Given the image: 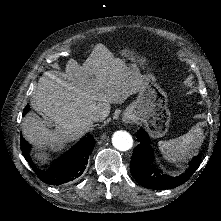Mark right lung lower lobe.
Segmentation results:
<instances>
[{"label":"right lung lower lobe","mask_w":221,"mask_h":221,"mask_svg":"<svg viewBox=\"0 0 221 221\" xmlns=\"http://www.w3.org/2000/svg\"><path fill=\"white\" fill-rule=\"evenodd\" d=\"M28 111L29 105L24 109L23 115ZM20 145L25 159L37 176L44 183L60 185L72 181L83 174L89 155L94 148L95 140L91 136L81 139L68 152L60 156L53 166L47 170H41L34 164L30 156V145L22 136L20 137Z\"/></svg>","instance_id":"right-lung-lower-lobe-1"}]
</instances>
